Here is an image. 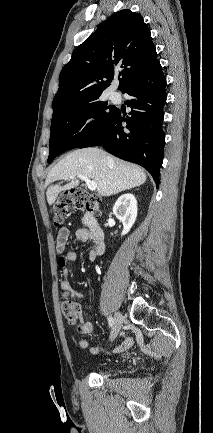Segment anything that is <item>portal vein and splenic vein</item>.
I'll return each mask as SVG.
<instances>
[{
	"instance_id": "18ae733b",
	"label": "portal vein and splenic vein",
	"mask_w": 213,
	"mask_h": 433,
	"mask_svg": "<svg viewBox=\"0 0 213 433\" xmlns=\"http://www.w3.org/2000/svg\"><path fill=\"white\" fill-rule=\"evenodd\" d=\"M73 177H74L73 175L70 176V178H73ZM78 178H80L82 181H85V183H86V185L90 191H95L97 189V184L95 181H92L89 178H87L81 174L78 175Z\"/></svg>"
}]
</instances>
